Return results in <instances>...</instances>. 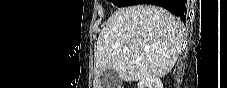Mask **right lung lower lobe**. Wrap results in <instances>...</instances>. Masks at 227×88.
<instances>
[{"label": "right lung lower lobe", "instance_id": "obj_1", "mask_svg": "<svg viewBox=\"0 0 227 88\" xmlns=\"http://www.w3.org/2000/svg\"><path fill=\"white\" fill-rule=\"evenodd\" d=\"M139 3L161 6L170 11L172 14L178 16L182 21L186 20V0H140Z\"/></svg>", "mask_w": 227, "mask_h": 88}]
</instances>
